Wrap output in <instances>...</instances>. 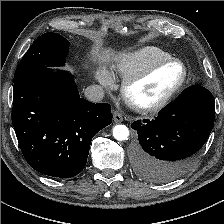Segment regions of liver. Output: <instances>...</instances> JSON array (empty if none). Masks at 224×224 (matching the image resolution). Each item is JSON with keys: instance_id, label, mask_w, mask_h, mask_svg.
Here are the masks:
<instances>
[{"instance_id": "liver-1", "label": "liver", "mask_w": 224, "mask_h": 224, "mask_svg": "<svg viewBox=\"0 0 224 224\" xmlns=\"http://www.w3.org/2000/svg\"><path fill=\"white\" fill-rule=\"evenodd\" d=\"M92 57L99 64H107L116 59V54L111 49L97 46V47L93 48V50H92Z\"/></svg>"}]
</instances>
